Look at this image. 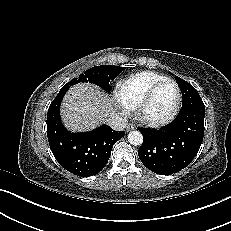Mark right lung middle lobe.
Here are the masks:
<instances>
[{
  "mask_svg": "<svg viewBox=\"0 0 231 231\" xmlns=\"http://www.w3.org/2000/svg\"><path fill=\"white\" fill-rule=\"evenodd\" d=\"M124 69L123 67L108 65L92 67L65 85L70 87L80 82H89L100 86L106 91H110L111 86L109 82L114 80Z\"/></svg>",
  "mask_w": 231,
  "mask_h": 231,
  "instance_id": "1",
  "label": "right lung middle lobe"
}]
</instances>
